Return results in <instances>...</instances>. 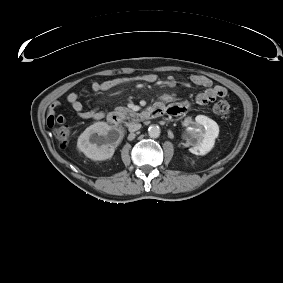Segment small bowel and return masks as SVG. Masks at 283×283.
<instances>
[{"instance_id":"c3829d8e","label":"small bowel","mask_w":283,"mask_h":283,"mask_svg":"<svg viewBox=\"0 0 283 283\" xmlns=\"http://www.w3.org/2000/svg\"><path fill=\"white\" fill-rule=\"evenodd\" d=\"M134 81H144L155 83L157 81V76L155 74H144L137 77H117L109 79L102 82H93L91 89L93 92L107 91L115 88L119 85L127 84ZM190 81L193 85L202 87L204 90L199 92L195 96V101L198 105H206L209 102L215 100L216 98L225 97L227 95V90L220 85L213 86L212 80L202 74H194L190 77ZM169 83H174L173 78L168 79ZM66 103L73 109L76 115L81 119H93L100 120L105 116V111L100 109H85L83 104L79 100V96L76 93H70L66 96ZM62 107V103L59 101H54L49 106V116L48 123L50 125L56 122L63 123L65 118L63 116H56L57 110ZM187 110V105L185 103L171 106L168 108V113L173 116H180L184 114Z\"/></svg>"}]
</instances>
